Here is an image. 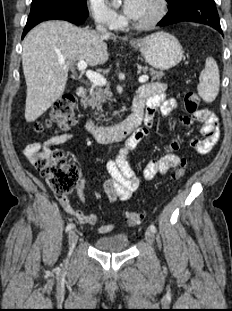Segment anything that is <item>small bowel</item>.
<instances>
[{
    "label": "small bowel",
    "instance_id": "c3829d8e",
    "mask_svg": "<svg viewBox=\"0 0 232 311\" xmlns=\"http://www.w3.org/2000/svg\"><path fill=\"white\" fill-rule=\"evenodd\" d=\"M137 97L143 100L145 104V125L134 131L126 139L117 156L106 164L108 177L103 183V188L110 202L126 201L138 189L140 180L128 163L127 156L149 135L155 113L158 111L163 117L167 118L178 110L177 101L167 96L166 87L161 83H148L142 86ZM178 120L184 127H194L203 136L202 139L190 140V144L195 150L201 155L209 153L219 138V124L215 114L207 109H201L192 116L179 113ZM183 137V134H178L168 144L167 154L147 163L142 173L145 180H151L158 174H167L180 164L181 158L174 152L179 148ZM73 139L74 134L63 133L51 137L44 143L32 142L24 148L23 154L32 165H35L38 156L48 155L52 148ZM84 186L85 180L82 178L77 187V195L82 203H85ZM57 199L65 212L78 223L83 225H96L98 223V215L93 213L85 214L82 210L75 208L67 196H58ZM113 228L114 224L109 223L99 227L98 232L106 234L111 232Z\"/></svg>",
    "mask_w": 232,
    "mask_h": 311
}]
</instances>
